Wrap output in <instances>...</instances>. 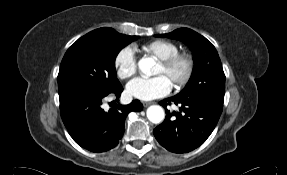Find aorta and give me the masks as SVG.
<instances>
[{
	"instance_id": "aorta-1",
	"label": "aorta",
	"mask_w": 287,
	"mask_h": 175,
	"mask_svg": "<svg viewBox=\"0 0 287 175\" xmlns=\"http://www.w3.org/2000/svg\"><path fill=\"white\" fill-rule=\"evenodd\" d=\"M155 61L152 58H142L138 62L139 70L146 76H151L153 74V67ZM165 113L161 106L152 105L147 109V118L150 122L158 124L164 120Z\"/></svg>"
}]
</instances>
